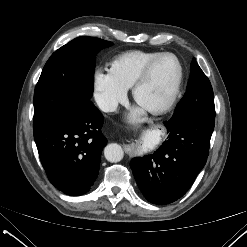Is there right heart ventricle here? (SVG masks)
Returning a JSON list of instances; mask_svg holds the SVG:
<instances>
[{
	"label": "right heart ventricle",
	"mask_w": 247,
	"mask_h": 247,
	"mask_svg": "<svg viewBox=\"0 0 247 247\" xmlns=\"http://www.w3.org/2000/svg\"><path fill=\"white\" fill-rule=\"evenodd\" d=\"M159 54V52L141 50L123 53L110 63L109 71L121 86L129 89L143 68Z\"/></svg>",
	"instance_id": "right-heart-ventricle-1"
}]
</instances>
